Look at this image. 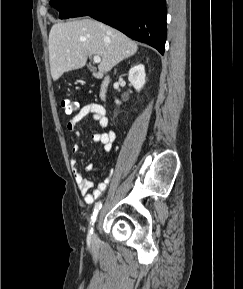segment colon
<instances>
[{
  "instance_id": "1",
  "label": "colon",
  "mask_w": 243,
  "mask_h": 289,
  "mask_svg": "<svg viewBox=\"0 0 243 289\" xmlns=\"http://www.w3.org/2000/svg\"><path fill=\"white\" fill-rule=\"evenodd\" d=\"M61 106L64 109L66 114H72L79 107L78 103L71 99H63L61 101Z\"/></svg>"
}]
</instances>
